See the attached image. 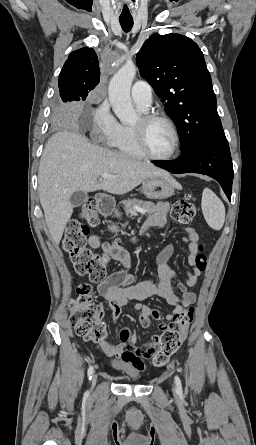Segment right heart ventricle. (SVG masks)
Listing matches in <instances>:
<instances>
[{
  "label": "right heart ventricle",
  "mask_w": 256,
  "mask_h": 445,
  "mask_svg": "<svg viewBox=\"0 0 256 445\" xmlns=\"http://www.w3.org/2000/svg\"><path fill=\"white\" fill-rule=\"evenodd\" d=\"M112 145L127 156L135 158L143 157L135 144L130 126L121 125L120 133Z\"/></svg>",
  "instance_id": "1"
}]
</instances>
